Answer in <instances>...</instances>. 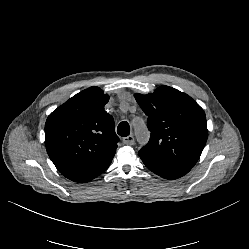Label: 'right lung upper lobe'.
<instances>
[{
    "label": "right lung upper lobe",
    "mask_w": 249,
    "mask_h": 249,
    "mask_svg": "<svg viewBox=\"0 0 249 249\" xmlns=\"http://www.w3.org/2000/svg\"><path fill=\"white\" fill-rule=\"evenodd\" d=\"M109 96L90 87L54 110L45 124V146L66 178L88 182L110 165L118 136L113 117L104 110Z\"/></svg>",
    "instance_id": "obj_1"
}]
</instances>
